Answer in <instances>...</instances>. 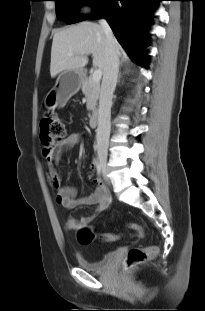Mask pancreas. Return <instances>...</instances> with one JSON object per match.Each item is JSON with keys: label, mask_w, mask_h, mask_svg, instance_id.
<instances>
[{"label": "pancreas", "mask_w": 205, "mask_h": 311, "mask_svg": "<svg viewBox=\"0 0 205 311\" xmlns=\"http://www.w3.org/2000/svg\"><path fill=\"white\" fill-rule=\"evenodd\" d=\"M82 92L86 98V107L88 111H95L97 100L100 93L99 82H93L91 77H86L82 80Z\"/></svg>", "instance_id": "1"}]
</instances>
